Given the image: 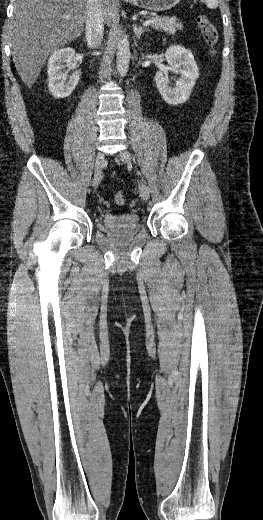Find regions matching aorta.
Masks as SVG:
<instances>
[{
  "mask_svg": "<svg viewBox=\"0 0 263 520\" xmlns=\"http://www.w3.org/2000/svg\"><path fill=\"white\" fill-rule=\"evenodd\" d=\"M130 57H131V53L129 50L128 41L125 38L120 39V41L118 43L116 66H117V71L121 77H124L127 74V71L129 68Z\"/></svg>",
  "mask_w": 263,
  "mask_h": 520,
  "instance_id": "obj_1",
  "label": "aorta"
}]
</instances>
